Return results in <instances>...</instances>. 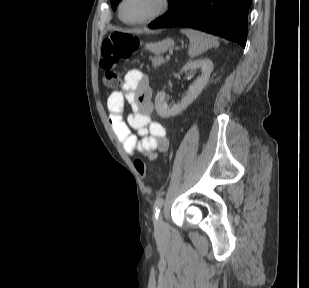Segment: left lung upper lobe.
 Here are the masks:
<instances>
[{"mask_svg": "<svg viewBox=\"0 0 309 288\" xmlns=\"http://www.w3.org/2000/svg\"><path fill=\"white\" fill-rule=\"evenodd\" d=\"M121 0H111V5H112V8L115 10L118 3L120 2ZM176 0H169V5L171 6Z\"/></svg>", "mask_w": 309, "mask_h": 288, "instance_id": "5c2ea615", "label": "left lung upper lobe"}]
</instances>
